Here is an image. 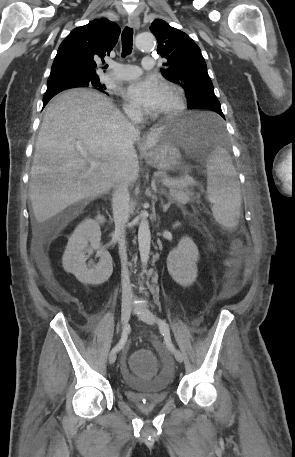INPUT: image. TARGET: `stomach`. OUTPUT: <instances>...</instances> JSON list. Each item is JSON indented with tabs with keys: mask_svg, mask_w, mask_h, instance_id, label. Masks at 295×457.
<instances>
[{
	"mask_svg": "<svg viewBox=\"0 0 295 457\" xmlns=\"http://www.w3.org/2000/svg\"><path fill=\"white\" fill-rule=\"evenodd\" d=\"M207 122L191 115L166 123L158 136L156 146L144 154L146 163L158 170L173 171L181 166L180 148L191 149L201 145L213 147Z\"/></svg>",
	"mask_w": 295,
	"mask_h": 457,
	"instance_id": "0dacf381",
	"label": "stomach"
}]
</instances>
